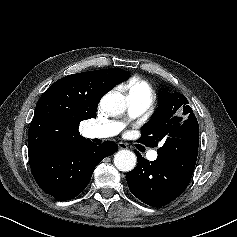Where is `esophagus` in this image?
Segmentation results:
<instances>
[{
	"label": "esophagus",
	"mask_w": 237,
	"mask_h": 237,
	"mask_svg": "<svg viewBox=\"0 0 237 237\" xmlns=\"http://www.w3.org/2000/svg\"><path fill=\"white\" fill-rule=\"evenodd\" d=\"M118 148H119L120 150H122V149H127L128 146H127L126 143L119 142V143H118Z\"/></svg>",
	"instance_id": "esophagus-1"
}]
</instances>
